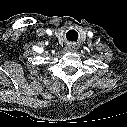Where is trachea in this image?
I'll use <instances>...</instances> for the list:
<instances>
[{
    "instance_id": "obj_1",
    "label": "trachea",
    "mask_w": 127,
    "mask_h": 127,
    "mask_svg": "<svg viewBox=\"0 0 127 127\" xmlns=\"http://www.w3.org/2000/svg\"><path fill=\"white\" fill-rule=\"evenodd\" d=\"M66 38L69 41H77V39H78V33L75 30H69L66 33Z\"/></svg>"
}]
</instances>
